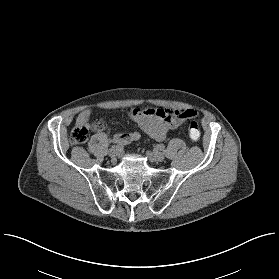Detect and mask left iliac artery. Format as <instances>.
<instances>
[{
	"instance_id": "44dca946",
	"label": "left iliac artery",
	"mask_w": 279,
	"mask_h": 279,
	"mask_svg": "<svg viewBox=\"0 0 279 279\" xmlns=\"http://www.w3.org/2000/svg\"><path fill=\"white\" fill-rule=\"evenodd\" d=\"M157 149L160 150V151H164L165 146L163 144H158Z\"/></svg>"
}]
</instances>
